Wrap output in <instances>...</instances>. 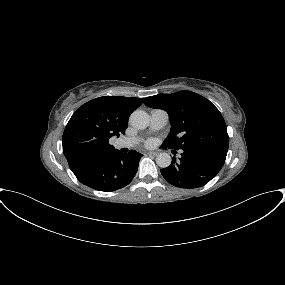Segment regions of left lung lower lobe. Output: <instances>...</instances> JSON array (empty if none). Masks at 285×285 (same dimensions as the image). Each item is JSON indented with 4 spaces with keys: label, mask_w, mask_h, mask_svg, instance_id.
<instances>
[{
    "label": "left lung lower lobe",
    "mask_w": 285,
    "mask_h": 285,
    "mask_svg": "<svg viewBox=\"0 0 285 285\" xmlns=\"http://www.w3.org/2000/svg\"><path fill=\"white\" fill-rule=\"evenodd\" d=\"M226 155L212 150L183 151L181 158L161 169L165 180L179 188H198L214 178L223 167Z\"/></svg>",
    "instance_id": "obj_1"
}]
</instances>
